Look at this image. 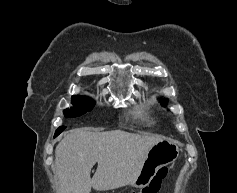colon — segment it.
<instances>
[{
    "mask_svg": "<svg viewBox=\"0 0 237 193\" xmlns=\"http://www.w3.org/2000/svg\"><path fill=\"white\" fill-rule=\"evenodd\" d=\"M167 174V169L165 167L160 168L151 181L143 186L140 190L131 193H158L161 188L162 180Z\"/></svg>",
    "mask_w": 237,
    "mask_h": 193,
    "instance_id": "1",
    "label": "colon"
}]
</instances>
